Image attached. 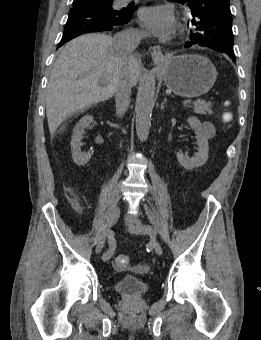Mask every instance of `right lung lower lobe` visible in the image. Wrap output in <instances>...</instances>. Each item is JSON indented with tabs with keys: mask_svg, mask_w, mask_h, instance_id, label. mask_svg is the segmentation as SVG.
<instances>
[{
	"mask_svg": "<svg viewBox=\"0 0 261 340\" xmlns=\"http://www.w3.org/2000/svg\"><path fill=\"white\" fill-rule=\"evenodd\" d=\"M134 11L133 8L110 10L101 3L90 1L74 2L59 47L81 34L111 30L116 25L126 24Z\"/></svg>",
	"mask_w": 261,
	"mask_h": 340,
	"instance_id": "98d812e1",
	"label": "right lung lower lobe"
}]
</instances>
